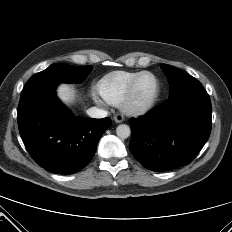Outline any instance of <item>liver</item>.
I'll return each instance as SVG.
<instances>
[{"instance_id":"6515ba94","label":"liver","mask_w":232,"mask_h":232,"mask_svg":"<svg viewBox=\"0 0 232 232\" xmlns=\"http://www.w3.org/2000/svg\"><path fill=\"white\" fill-rule=\"evenodd\" d=\"M58 98L65 104H72L76 100V90L69 84H60L57 88Z\"/></svg>"}]
</instances>
